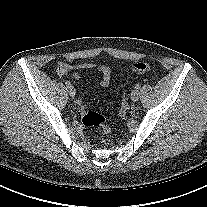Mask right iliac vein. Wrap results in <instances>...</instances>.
<instances>
[{"instance_id": "1", "label": "right iliac vein", "mask_w": 207, "mask_h": 207, "mask_svg": "<svg viewBox=\"0 0 207 207\" xmlns=\"http://www.w3.org/2000/svg\"><path fill=\"white\" fill-rule=\"evenodd\" d=\"M68 93H69L70 96L74 97L75 94H76L75 88L73 86H69L68 87Z\"/></svg>"}]
</instances>
